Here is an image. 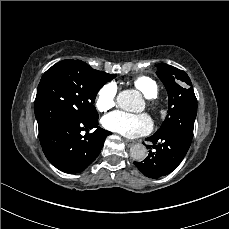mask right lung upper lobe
Returning a JSON list of instances; mask_svg holds the SVG:
<instances>
[{"mask_svg":"<svg viewBox=\"0 0 229 229\" xmlns=\"http://www.w3.org/2000/svg\"><path fill=\"white\" fill-rule=\"evenodd\" d=\"M97 71V70H96ZM98 74L100 75V77L107 83L108 81L112 80L113 78H115V74L114 75H110L108 73L102 72V71H97Z\"/></svg>","mask_w":229,"mask_h":229,"instance_id":"cb5924a9","label":"right lung upper lobe"}]
</instances>
